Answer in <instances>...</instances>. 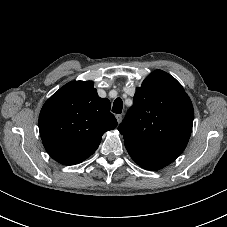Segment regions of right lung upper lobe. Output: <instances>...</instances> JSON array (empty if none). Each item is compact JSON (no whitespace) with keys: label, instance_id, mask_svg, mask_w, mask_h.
<instances>
[{"label":"right lung upper lobe","instance_id":"cb5924a9","mask_svg":"<svg viewBox=\"0 0 227 227\" xmlns=\"http://www.w3.org/2000/svg\"><path fill=\"white\" fill-rule=\"evenodd\" d=\"M110 101L100 98L92 81H73L60 88L43 105L39 131L48 154L64 165L91 156L102 135L116 128Z\"/></svg>","mask_w":227,"mask_h":227}]
</instances>
